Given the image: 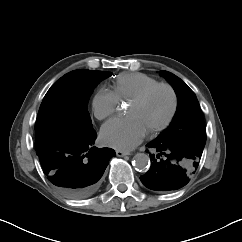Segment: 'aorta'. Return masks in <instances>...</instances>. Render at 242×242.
Returning a JSON list of instances; mask_svg holds the SVG:
<instances>
[{
    "instance_id": "762f6f07",
    "label": "aorta",
    "mask_w": 242,
    "mask_h": 242,
    "mask_svg": "<svg viewBox=\"0 0 242 242\" xmlns=\"http://www.w3.org/2000/svg\"><path fill=\"white\" fill-rule=\"evenodd\" d=\"M133 164L136 167V169H138L139 171H143L144 172L150 166V158L145 153H137L134 156Z\"/></svg>"
}]
</instances>
